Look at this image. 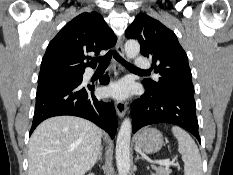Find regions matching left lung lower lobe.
Listing matches in <instances>:
<instances>
[{
	"instance_id": "1",
	"label": "left lung lower lobe",
	"mask_w": 233,
	"mask_h": 175,
	"mask_svg": "<svg viewBox=\"0 0 233 175\" xmlns=\"http://www.w3.org/2000/svg\"><path fill=\"white\" fill-rule=\"evenodd\" d=\"M141 98L133 102L132 132L155 123H171L192 133L200 142L194 92L183 89H166L153 92L146 89Z\"/></svg>"
}]
</instances>
